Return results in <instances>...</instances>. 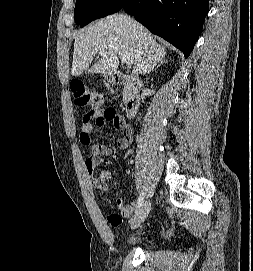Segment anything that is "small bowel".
Here are the masks:
<instances>
[{"label": "small bowel", "instance_id": "small-bowel-1", "mask_svg": "<svg viewBox=\"0 0 253 271\" xmlns=\"http://www.w3.org/2000/svg\"><path fill=\"white\" fill-rule=\"evenodd\" d=\"M107 120L102 113L88 112L82 118V124L80 127L79 139L83 145H91V153L86 158L84 165L86 172L91 177V184L93 187L105 190L107 188V182L111 178V172L103 169L98 170V166L103 162V158L112 154V148L104 143L91 144L92 123H95L98 127H104ZM113 126L123 133V137L116 141V145L120 149H128L132 143L133 133L129 125L119 119L118 122L111 121ZM135 209V204L130 203L122 209V214L112 213L108 216V220L113 217H117L121 222L122 217H129Z\"/></svg>", "mask_w": 253, "mask_h": 271}]
</instances>
